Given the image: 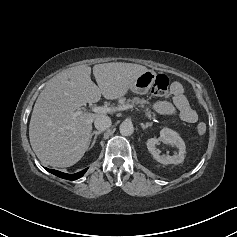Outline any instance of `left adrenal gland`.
I'll return each instance as SVG.
<instances>
[{
  "mask_svg": "<svg viewBox=\"0 0 237 237\" xmlns=\"http://www.w3.org/2000/svg\"><path fill=\"white\" fill-rule=\"evenodd\" d=\"M140 125H141L142 129L145 130V129H147L149 126H152V123H146V124L141 123Z\"/></svg>",
  "mask_w": 237,
  "mask_h": 237,
  "instance_id": "a2214340",
  "label": "left adrenal gland"
}]
</instances>
